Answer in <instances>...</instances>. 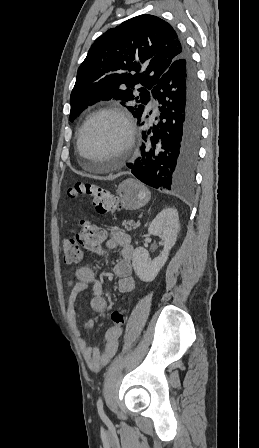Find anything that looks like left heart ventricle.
<instances>
[{
	"label": "left heart ventricle",
	"instance_id": "b2bd125f",
	"mask_svg": "<svg viewBox=\"0 0 259 448\" xmlns=\"http://www.w3.org/2000/svg\"><path fill=\"white\" fill-rule=\"evenodd\" d=\"M124 135L122 121L113 115H104L92 121L82 137L81 161L106 162L114 157L113 148Z\"/></svg>",
	"mask_w": 259,
	"mask_h": 448
}]
</instances>
